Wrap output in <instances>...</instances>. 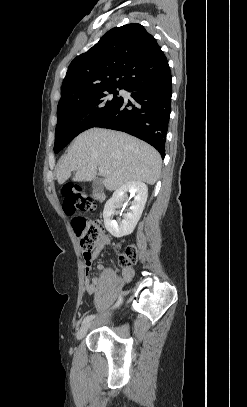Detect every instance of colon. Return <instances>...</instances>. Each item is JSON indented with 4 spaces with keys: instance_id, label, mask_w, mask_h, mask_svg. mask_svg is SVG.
Segmentation results:
<instances>
[{
    "instance_id": "5ec220e1",
    "label": "colon",
    "mask_w": 247,
    "mask_h": 407,
    "mask_svg": "<svg viewBox=\"0 0 247 407\" xmlns=\"http://www.w3.org/2000/svg\"><path fill=\"white\" fill-rule=\"evenodd\" d=\"M63 210L68 215L76 212H86L93 208L90 196L77 184H67L62 188ZM73 229L78 237L84 256H89L103 237L104 228L99 220L85 217H75L72 220ZM138 257L137 249L128 246L119 254L118 262L122 267H129Z\"/></svg>"
}]
</instances>
